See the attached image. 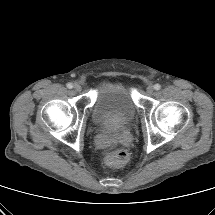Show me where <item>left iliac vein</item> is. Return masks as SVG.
<instances>
[{"label":"left iliac vein","instance_id":"left-iliac-vein-1","mask_svg":"<svg viewBox=\"0 0 215 215\" xmlns=\"http://www.w3.org/2000/svg\"><path fill=\"white\" fill-rule=\"evenodd\" d=\"M146 91H147L148 94H152L153 91H154V86L149 85V86L146 88Z\"/></svg>","mask_w":215,"mask_h":215}]
</instances>
